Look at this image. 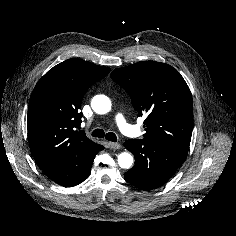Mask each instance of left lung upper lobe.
<instances>
[{
    "mask_svg": "<svg viewBox=\"0 0 236 236\" xmlns=\"http://www.w3.org/2000/svg\"><path fill=\"white\" fill-rule=\"evenodd\" d=\"M111 78L130 95L139 116H144V140L188 153L193 128L192 95L172 66L142 61L117 68Z\"/></svg>",
    "mask_w": 236,
    "mask_h": 236,
    "instance_id": "left-lung-upper-lobe-1",
    "label": "left lung upper lobe"
}]
</instances>
